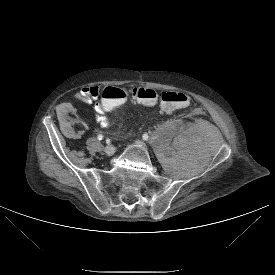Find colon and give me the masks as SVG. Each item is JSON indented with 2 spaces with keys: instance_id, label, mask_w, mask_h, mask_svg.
<instances>
[{
  "instance_id": "1",
  "label": "colon",
  "mask_w": 275,
  "mask_h": 275,
  "mask_svg": "<svg viewBox=\"0 0 275 275\" xmlns=\"http://www.w3.org/2000/svg\"><path fill=\"white\" fill-rule=\"evenodd\" d=\"M103 108L112 112L118 108L120 103L131 98L138 104L155 105L159 104L164 112H171L186 107L189 104V97L183 92H157L143 87L106 88L103 92Z\"/></svg>"
}]
</instances>
